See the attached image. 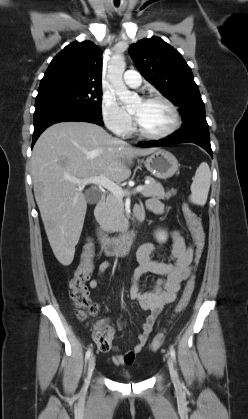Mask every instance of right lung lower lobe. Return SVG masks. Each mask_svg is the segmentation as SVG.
<instances>
[{
	"mask_svg": "<svg viewBox=\"0 0 248 419\" xmlns=\"http://www.w3.org/2000/svg\"><path fill=\"white\" fill-rule=\"evenodd\" d=\"M62 121H85L103 125L102 117L76 106H52L34 112V133L32 147L40 134L52 124Z\"/></svg>",
	"mask_w": 248,
	"mask_h": 419,
	"instance_id": "98d812e1",
	"label": "right lung lower lobe"
}]
</instances>
